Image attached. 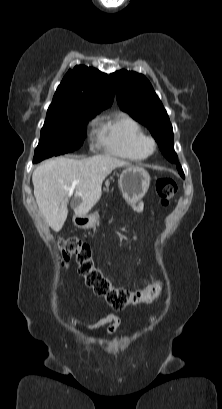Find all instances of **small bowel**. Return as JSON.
Listing matches in <instances>:
<instances>
[{"mask_svg": "<svg viewBox=\"0 0 222 409\" xmlns=\"http://www.w3.org/2000/svg\"><path fill=\"white\" fill-rule=\"evenodd\" d=\"M142 210H143V203H138L137 205L134 206V211L140 212ZM119 325H120V319L114 314H108L102 317L101 319H99L98 321L90 324L88 326V329L96 330L102 327H107V332L109 334H112L117 330Z\"/></svg>", "mask_w": 222, "mask_h": 409, "instance_id": "small-bowel-1", "label": "small bowel"}]
</instances>
